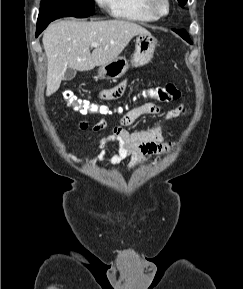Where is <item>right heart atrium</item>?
<instances>
[{
	"mask_svg": "<svg viewBox=\"0 0 243 289\" xmlns=\"http://www.w3.org/2000/svg\"><path fill=\"white\" fill-rule=\"evenodd\" d=\"M95 2L103 8L109 7L110 0H95Z\"/></svg>",
	"mask_w": 243,
	"mask_h": 289,
	"instance_id": "right-heart-atrium-1",
	"label": "right heart atrium"
}]
</instances>
